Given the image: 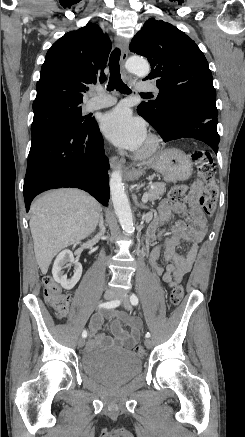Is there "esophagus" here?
Segmentation results:
<instances>
[{
  "label": "esophagus",
  "mask_w": 245,
  "mask_h": 437,
  "mask_svg": "<svg viewBox=\"0 0 245 437\" xmlns=\"http://www.w3.org/2000/svg\"><path fill=\"white\" fill-rule=\"evenodd\" d=\"M117 44L119 45V47L121 48V64H122V73L123 75L126 77L127 76V72L124 69V63L128 57V43L127 41H125L123 38H117L116 39ZM110 166L111 168H116L119 166V159L117 156H113L110 159Z\"/></svg>",
  "instance_id": "esophagus-1"
}]
</instances>
